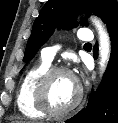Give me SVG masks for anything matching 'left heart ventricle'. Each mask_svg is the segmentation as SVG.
Masks as SVG:
<instances>
[{
	"instance_id": "1",
	"label": "left heart ventricle",
	"mask_w": 118,
	"mask_h": 123,
	"mask_svg": "<svg viewBox=\"0 0 118 123\" xmlns=\"http://www.w3.org/2000/svg\"><path fill=\"white\" fill-rule=\"evenodd\" d=\"M77 95V84L74 78L67 73L56 75L50 87L51 103L57 108L68 106Z\"/></svg>"
}]
</instances>
